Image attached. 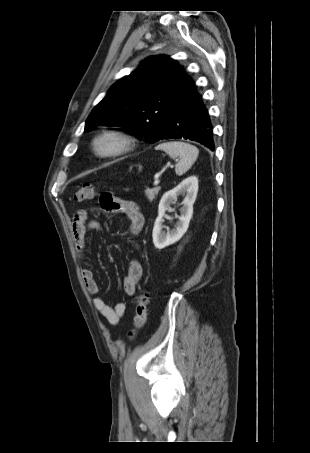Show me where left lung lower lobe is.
Returning a JSON list of instances; mask_svg holds the SVG:
<instances>
[{
	"instance_id": "obj_1",
	"label": "left lung lower lobe",
	"mask_w": 310,
	"mask_h": 453,
	"mask_svg": "<svg viewBox=\"0 0 310 453\" xmlns=\"http://www.w3.org/2000/svg\"><path fill=\"white\" fill-rule=\"evenodd\" d=\"M212 123L194 81L189 77L162 133V139H189L214 151Z\"/></svg>"
}]
</instances>
